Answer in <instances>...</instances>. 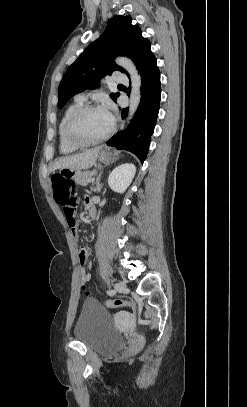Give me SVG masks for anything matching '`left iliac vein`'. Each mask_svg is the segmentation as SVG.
Listing matches in <instances>:
<instances>
[{
    "instance_id": "obj_1",
    "label": "left iliac vein",
    "mask_w": 247,
    "mask_h": 407,
    "mask_svg": "<svg viewBox=\"0 0 247 407\" xmlns=\"http://www.w3.org/2000/svg\"><path fill=\"white\" fill-rule=\"evenodd\" d=\"M114 288L116 289V291H118L120 293H124L127 291V286L124 282L115 283Z\"/></svg>"
}]
</instances>
